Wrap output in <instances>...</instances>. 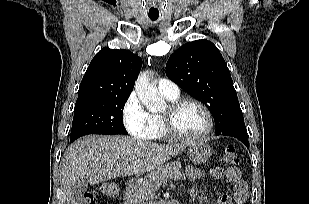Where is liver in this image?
<instances>
[{
	"mask_svg": "<svg viewBox=\"0 0 309 204\" xmlns=\"http://www.w3.org/2000/svg\"><path fill=\"white\" fill-rule=\"evenodd\" d=\"M189 144L158 145L127 136L82 137L62 156V189L71 201L74 183L80 178L96 184L121 176L144 174L162 166Z\"/></svg>",
	"mask_w": 309,
	"mask_h": 204,
	"instance_id": "6515ba94",
	"label": "liver"
}]
</instances>
